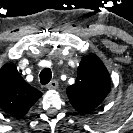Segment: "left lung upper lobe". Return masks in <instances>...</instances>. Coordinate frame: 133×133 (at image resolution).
I'll use <instances>...</instances> for the list:
<instances>
[{
  "instance_id": "1",
  "label": "left lung upper lobe",
  "mask_w": 133,
  "mask_h": 133,
  "mask_svg": "<svg viewBox=\"0 0 133 133\" xmlns=\"http://www.w3.org/2000/svg\"><path fill=\"white\" fill-rule=\"evenodd\" d=\"M110 85V75L102 61L95 55H88L79 64L76 83L66 92L74 109L86 113L103 102Z\"/></svg>"
}]
</instances>
